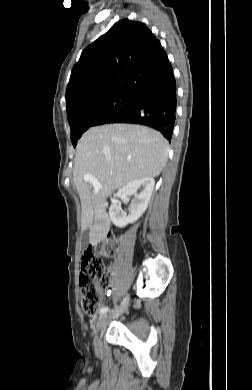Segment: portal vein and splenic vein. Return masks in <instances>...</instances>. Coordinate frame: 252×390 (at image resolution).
Wrapping results in <instances>:
<instances>
[{
    "label": "portal vein and splenic vein",
    "mask_w": 252,
    "mask_h": 390,
    "mask_svg": "<svg viewBox=\"0 0 252 390\" xmlns=\"http://www.w3.org/2000/svg\"><path fill=\"white\" fill-rule=\"evenodd\" d=\"M83 179L84 181L91 183L95 190L100 189L102 187L101 183L90 174L84 175Z\"/></svg>",
    "instance_id": "obj_1"
}]
</instances>
